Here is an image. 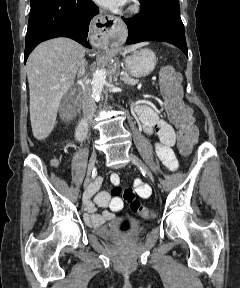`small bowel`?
<instances>
[{"label":"small bowel","mask_w":240,"mask_h":288,"mask_svg":"<svg viewBox=\"0 0 240 288\" xmlns=\"http://www.w3.org/2000/svg\"><path fill=\"white\" fill-rule=\"evenodd\" d=\"M135 112L138 115L139 124L146 135L156 134L159 141L155 145L156 153L161 162L170 170H175L178 166L177 159L172 150L175 143V132L173 128L160 116L159 112L153 107L134 104ZM111 182L114 184L111 192H98L101 179H96L86 192L83 204L85 208V222L93 227L99 226L105 221L113 219L114 212L123 207V200L120 197L121 188L119 187L120 176L118 173L111 175ZM134 193L141 198H148L151 195V187L141 179L134 180ZM95 196V203L105 210L96 213L92 198Z\"/></svg>","instance_id":"1"}]
</instances>
